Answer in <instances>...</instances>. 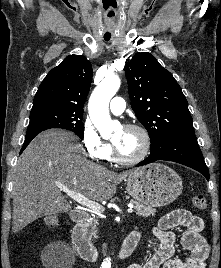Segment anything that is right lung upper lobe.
Returning a JSON list of instances; mask_svg holds the SVG:
<instances>
[{"label": "right lung upper lobe", "instance_id": "obj_1", "mask_svg": "<svg viewBox=\"0 0 221 268\" xmlns=\"http://www.w3.org/2000/svg\"><path fill=\"white\" fill-rule=\"evenodd\" d=\"M92 74L91 63L85 57L67 56L40 84L31 111L64 109L83 112Z\"/></svg>", "mask_w": 221, "mask_h": 268}]
</instances>
